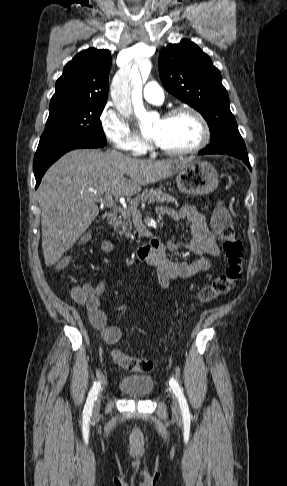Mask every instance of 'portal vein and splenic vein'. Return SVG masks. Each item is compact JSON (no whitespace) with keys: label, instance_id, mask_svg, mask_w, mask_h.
Instances as JSON below:
<instances>
[{"label":"portal vein and splenic vein","instance_id":"1","mask_svg":"<svg viewBox=\"0 0 287 486\" xmlns=\"http://www.w3.org/2000/svg\"><path fill=\"white\" fill-rule=\"evenodd\" d=\"M112 192H107L105 193L104 197L101 199H98L97 201L103 202V204L107 207H113L115 205V202L112 198ZM139 211H136L135 213H138Z\"/></svg>","mask_w":287,"mask_h":486}]
</instances>
